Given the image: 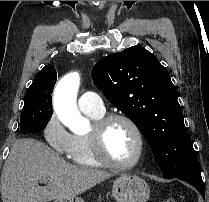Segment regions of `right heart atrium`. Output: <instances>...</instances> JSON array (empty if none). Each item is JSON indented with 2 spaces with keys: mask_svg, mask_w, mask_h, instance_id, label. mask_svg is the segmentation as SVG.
<instances>
[{
  "mask_svg": "<svg viewBox=\"0 0 209 202\" xmlns=\"http://www.w3.org/2000/svg\"><path fill=\"white\" fill-rule=\"evenodd\" d=\"M45 141L58 153L66 155L70 150L73 136L63 126L55 113H52L43 127Z\"/></svg>",
  "mask_w": 209,
  "mask_h": 202,
  "instance_id": "d8ad5b80",
  "label": "right heart atrium"
}]
</instances>
